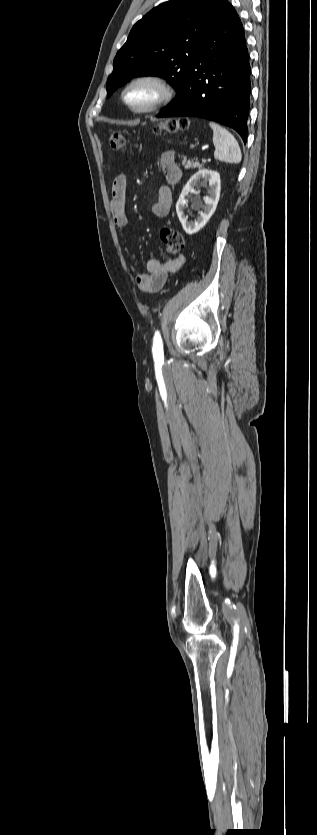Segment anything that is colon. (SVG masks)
<instances>
[{
    "label": "colon",
    "instance_id": "5ec220e1",
    "mask_svg": "<svg viewBox=\"0 0 317 835\" xmlns=\"http://www.w3.org/2000/svg\"><path fill=\"white\" fill-rule=\"evenodd\" d=\"M190 122L186 118L169 119L160 127L159 132L174 134L188 129ZM109 146L112 150H122L125 147V137L119 132L109 134ZM160 237L168 254H177L184 247V239L180 232L170 226H163Z\"/></svg>",
    "mask_w": 317,
    "mask_h": 835
}]
</instances>
